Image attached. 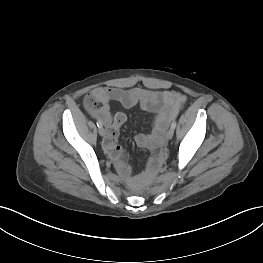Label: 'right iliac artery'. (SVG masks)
<instances>
[{
	"instance_id": "right-iliac-artery-1",
	"label": "right iliac artery",
	"mask_w": 263,
	"mask_h": 263,
	"mask_svg": "<svg viewBox=\"0 0 263 263\" xmlns=\"http://www.w3.org/2000/svg\"><path fill=\"white\" fill-rule=\"evenodd\" d=\"M97 126L100 128V127L103 126V123H102L100 120H98V121H97Z\"/></svg>"
}]
</instances>
